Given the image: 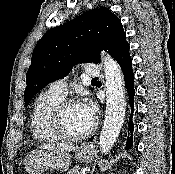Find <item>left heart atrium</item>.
Here are the masks:
<instances>
[{
    "instance_id": "39dd6f15",
    "label": "left heart atrium",
    "mask_w": 175,
    "mask_h": 174,
    "mask_svg": "<svg viewBox=\"0 0 175 174\" xmlns=\"http://www.w3.org/2000/svg\"><path fill=\"white\" fill-rule=\"evenodd\" d=\"M81 106L89 121L93 123L96 119V112H97L95 104L91 100L85 99L83 102H81Z\"/></svg>"
}]
</instances>
